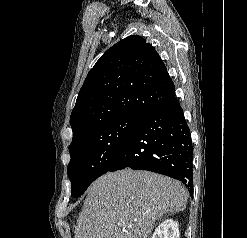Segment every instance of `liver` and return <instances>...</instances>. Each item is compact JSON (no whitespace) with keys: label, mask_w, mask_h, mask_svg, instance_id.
Returning <instances> with one entry per match:
<instances>
[{"label":"liver","mask_w":247,"mask_h":238,"mask_svg":"<svg viewBox=\"0 0 247 238\" xmlns=\"http://www.w3.org/2000/svg\"><path fill=\"white\" fill-rule=\"evenodd\" d=\"M184 186L149 171L124 169L95 180L77 219L74 238H149L155 221L183 211Z\"/></svg>","instance_id":"liver-1"}]
</instances>
